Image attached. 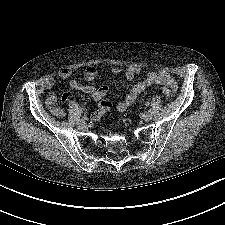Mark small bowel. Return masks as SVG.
Wrapping results in <instances>:
<instances>
[{"instance_id":"c3829d8e","label":"small bowel","mask_w":225,"mask_h":225,"mask_svg":"<svg viewBox=\"0 0 225 225\" xmlns=\"http://www.w3.org/2000/svg\"><path fill=\"white\" fill-rule=\"evenodd\" d=\"M111 72L113 74H118L121 72L120 67H113L111 69ZM140 72V68L133 66L129 67L125 71V76L128 80H133ZM72 70L70 68H62L58 72V78L61 80H67L71 77ZM98 75V71L95 67L91 66L88 67L84 71V78L88 81L94 80ZM55 84L54 78H49L45 82V86L48 89H51ZM165 85L171 88L173 91H176L177 89V82L172 77L170 73L167 71H155L150 72L147 74V76L135 83L129 92L126 94L123 100L117 102L116 109L118 111H125L129 108L131 104H133L136 99L150 86L152 85ZM69 85L72 89L84 92L86 94H89L93 97L95 101L99 102L98 109L93 113L92 117L93 119L97 120L99 119L103 114H105L112 106V103L109 100L104 99L105 96L108 93V87L107 86H95V85H84L81 84L76 79H71L69 82ZM68 100V95L64 93L61 96V101L66 102ZM57 103V95L54 91H50L46 97L45 104L50 109V112L56 116L61 117L63 116V110L59 106L56 105Z\"/></svg>"}]
</instances>
